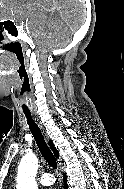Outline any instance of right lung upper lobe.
<instances>
[{"label":"right lung upper lobe","mask_w":124,"mask_h":189,"mask_svg":"<svg viewBox=\"0 0 124 189\" xmlns=\"http://www.w3.org/2000/svg\"><path fill=\"white\" fill-rule=\"evenodd\" d=\"M49 145H50V148L52 149L54 155H55L56 157H59V152H58V150L54 147V144L50 141V142H49Z\"/></svg>","instance_id":"obj_1"}]
</instances>
